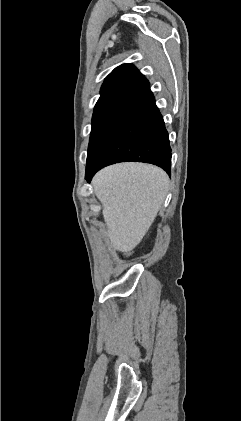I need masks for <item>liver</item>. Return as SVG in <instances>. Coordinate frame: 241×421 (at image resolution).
<instances>
[{"label": "liver", "instance_id": "1", "mask_svg": "<svg viewBox=\"0 0 241 421\" xmlns=\"http://www.w3.org/2000/svg\"><path fill=\"white\" fill-rule=\"evenodd\" d=\"M115 250L132 251L143 239L169 190L168 175L150 164L121 163L106 167L93 178Z\"/></svg>", "mask_w": 241, "mask_h": 421}]
</instances>
